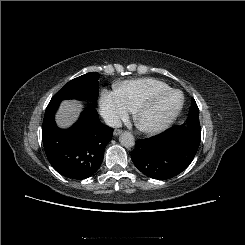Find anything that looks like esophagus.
I'll return each mask as SVG.
<instances>
[{
	"instance_id": "34e87169",
	"label": "esophagus",
	"mask_w": 245,
	"mask_h": 245,
	"mask_svg": "<svg viewBox=\"0 0 245 245\" xmlns=\"http://www.w3.org/2000/svg\"><path fill=\"white\" fill-rule=\"evenodd\" d=\"M122 132L123 131L121 129H115L113 134H114V136H117V135L121 134Z\"/></svg>"
}]
</instances>
